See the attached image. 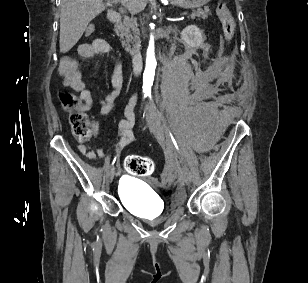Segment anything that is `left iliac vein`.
<instances>
[{"label":"left iliac vein","mask_w":308,"mask_h":283,"mask_svg":"<svg viewBox=\"0 0 308 283\" xmlns=\"http://www.w3.org/2000/svg\"><path fill=\"white\" fill-rule=\"evenodd\" d=\"M149 128L151 131H153L156 135H159L157 127L154 125L153 121L148 120ZM181 179L185 183H189L192 180V175L187 167H183L182 172H181Z\"/></svg>","instance_id":"obj_1"}]
</instances>
